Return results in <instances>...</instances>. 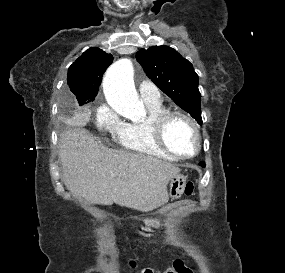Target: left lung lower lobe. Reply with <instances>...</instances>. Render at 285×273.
Returning <instances> with one entry per match:
<instances>
[{"instance_id":"left-lung-lower-lobe-1","label":"left lung lower lobe","mask_w":285,"mask_h":273,"mask_svg":"<svg viewBox=\"0 0 285 273\" xmlns=\"http://www.w3.org/2000/svg\"><path fill=\"white\" fill-rule=\"evenodd\" d=\"M200 165H201L202 167H204V166H205L203 162H202V163H200Z\"/></svg>"}]
</instances>
